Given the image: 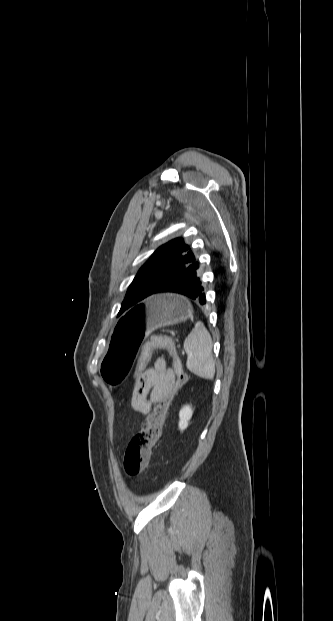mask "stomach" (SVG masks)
<instances>
[{
  "instance_id": "1",
  "label": "stomach",
  "mask_w": 333,
  "mask_h": 621,
  "mask_svg": "<svg viewBox=\"0 0 333 621\" xmlns=\"http://www.w3.org/2000/svg\"><path fill=\"white\" fill-rule=\"evenodd\" d=\"M191 317L190 306L172 294H159L149 298L125 314L103 353L100 372L106 386L118 390L135 368L143 346L145 328L173 325Z\"/></svg>"
}]
</instances>
